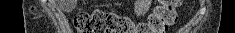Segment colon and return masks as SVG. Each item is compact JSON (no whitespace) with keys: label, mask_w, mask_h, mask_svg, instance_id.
Returning a JSON list of instances; mask_svg holds the SVG:
<instances>
[{"label":"colon","mask_w":235,"mask_h":33,"mask_svg":"<svg viewBox=\"0 0 235 33\" xmlns=\"http://www.w3.org/2000/svg\"><path fill=\"white\" fill-rule=\"evenodd\" d=\"M180 3V0L160 1L147 21L137 24L114 12H81L74 18V27L78 33H164L176 21L175 8Z\"/></svg>","instance_id":"obj_1"}]
</instances>
